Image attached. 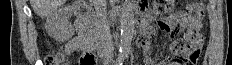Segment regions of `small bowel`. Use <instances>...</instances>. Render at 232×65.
Wrapping results in <instances>:
<instances>
[{
	"label": "small bowel",
	"instance_id": "small-bowel-1",
	"mask_svg": "<svg viewBox=\"0 0 232 65\" xmlns=\"http://www.w3.org/2000/svg\"><path fill=\"white\" fill-rule=\"evenodd\" d=\"M140 8L143 11V20L146 23V29H142L141 37L138 39V45L141 47H147L148 37L152 34V28L149 26V22L152 20L154 15H153V12L149 10L145 5H141ZM158 26L160 29L166 30L170 34L177 35L178 33L186 29V15L184 13H175L171 17H169L166 21H159ZM77 32H78L77 36L71 39L67 43L66 52L68 54H72L76 51L90 52L87 47V40L85 36L80 33L78 28H77ZM203 42H204V37L202 36V39L200 42V52L203 46ZM146 65H155V63L150 58H147ZM157 65H180V64L174 61H171V60H166Z\"/></svg>",
	"mask_w": 232,
	"mask_h": 65
}]
</instances>
